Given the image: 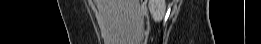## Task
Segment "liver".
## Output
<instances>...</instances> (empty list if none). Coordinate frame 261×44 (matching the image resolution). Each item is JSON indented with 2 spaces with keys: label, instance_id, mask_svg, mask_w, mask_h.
<instances>
[{
  "label": "liver",
  "instance_id": "1",
  "mask_svg": "<svg viewBox=\"0 0 261 44\" xmlns=\"http://www.w3.org/2000/svg\"><path fill=\"white\" fill-rule=\"evenodd\" d=\"M104 12L106 42L138 44L143 37L139 0H96Z\"/></svg>",
  "mask_w": 261,
  "mask_h": 44
}]
</instances>
